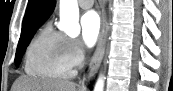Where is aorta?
I'll return each mask as SVG.
<instances>
[{
  "instance_id": "1",
  "label": "aorta",
  "mask_w": 173,
  "mask_h": 91,
  "mask_svg": "<svg viewBox=\"0 0 173 91\" xmlns=\"http://www.w3.org/2000/svg\"><path fill=\"white\" fill-rule=\"evenodd\" d=\"M59 28L71 37L80 33L79 8L77 0H60V24ZM104 80L99 78L94 91H103Z\"/></svg>"
}]
</instances>
